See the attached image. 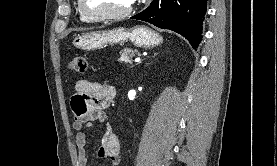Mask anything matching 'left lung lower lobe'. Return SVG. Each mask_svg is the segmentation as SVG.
I'll list each match as a JSON object with an SVG mask.
<instances>
[{"instance_id": "left-lung-lower-lobe-1", "label": "left lung lower lobe", "mask_w": 277, "mask_h": 166, "mask_svg": "<svg viewBox=\"0 0 277 166\" xmlns=\"http://www.w3.org/2000/svg\"><path fill=\"white\" fill-rule=\"evenodd\" d=\"M207 0H153L150 6L131 17L183 35L196 48L202 40V22Z\"/></svg>"}]
</instances>
